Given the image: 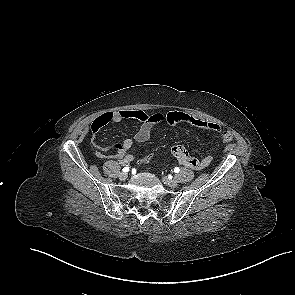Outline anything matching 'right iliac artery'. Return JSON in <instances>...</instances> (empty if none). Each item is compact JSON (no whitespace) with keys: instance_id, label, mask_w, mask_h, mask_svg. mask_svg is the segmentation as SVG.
Masks as SVG:
<instances>
[{"instance_id":"82829eb1","label":"right iliac artery","mask_w":295,"mask_h":295,"mask_svg":"<svg viewBox=\"0 0 295 295\" xmlns=\"http://www.w3.org/2000/svg\"><path fill=\"white\" fill-rule=\"evenodd\" d=\"M122 171H123V172H128V171H129V167H124V168L122 169Z\"/></svg>"}]
</instances>
